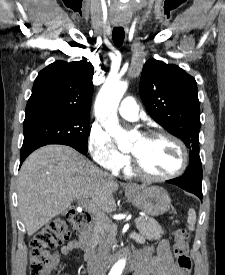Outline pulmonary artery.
I'll return each mask as SVG.
<instances>
[{
    "label": "pulmonary artery",
    "instance_id": "obj_1",
    "mask_svg": "<svg viewBox=\"0 0 225 275\" xmlns=\"http://www.w3.org/2000/svg\"><path fill=\"white\" fill-rule=\"evenodd\" d=\"M118 110L119 114L127 120H136L138 118L139 107L135 98L131 96L122 100Z\"/></svg>",
    "mask_w": 225,
    "mask_h": 275
}]
</instances>
